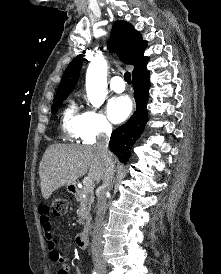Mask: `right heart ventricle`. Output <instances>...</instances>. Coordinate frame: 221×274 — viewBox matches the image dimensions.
<instances>
[{"label":"right heart ventricle","mask_w":221,"mask_h":274,"mask_svg":"<svg viewBox=\"0 0 221 274\" xmlns=\"http://www.w3.org/2000/svg\"><path fill=\"white\" fill-rule=\"evenodd\" d=\"M80 120L81 114L78 112V107L74 101H71L62 114L63 131L71 138H79Z\"/></svg>","instance_id":"obj_1"}]
</instances>
